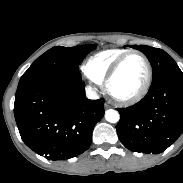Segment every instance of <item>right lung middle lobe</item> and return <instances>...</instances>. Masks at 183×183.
Instances as JSON below:
<instances>
[{
	"instance_id": "obj_1",
	"label": "right lung middle lobe",
	"mask_w": 183,
	"mask_h": 183,
	"mask_svg": "<svg viewBox=\"0 0 183 183\" xmlns=\"http://www.w3.org/2000/svg\"><path fill=\"white\" fill-rule=\"evenodd\" d=\"M95 48L92 44L53 47L32 63L20 81L78 74L79 64Z\"/></svg>"
}]
</instances>
